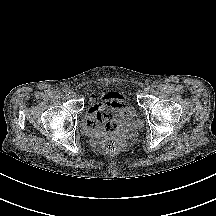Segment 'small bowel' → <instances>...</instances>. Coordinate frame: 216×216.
Segmentation results:
<instances>
[{
    "instance_id": "1",
    "label": "small bowel",
    "mask_w": 216,
    "mask_h": 216,
    "mask_svg": "<svg viewBox=\"0 0 216 216\" xmlns=\"http://www.w3.org/2000/svg\"><path fill=\"white\" fill-rule=\"evenodd\" d=\"M130 113L124 97L115 91H108L100 96L90 95V107L85 117V128L88 132L101 135L105 130L116 128L119 116Z\"/></svg>"
}]
</instances>
